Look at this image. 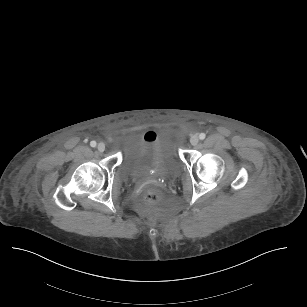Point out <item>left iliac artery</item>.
<instances>
[{"instance_id": "1", "label": "left iliac artery", "mask_w": 307, "mask_h": 307, "mask_svg": "<svg viewBox=\"0 0 307 307\" xmlns=\"http://www.w3.org/2000/svg\"><path fill=\"white\" fill-rule=\"evenodd\" d=\"M205 137H206L205 133H200V134H199V138H200L201 140H204Z\"/></svg>"}]
</instances>
